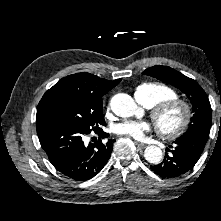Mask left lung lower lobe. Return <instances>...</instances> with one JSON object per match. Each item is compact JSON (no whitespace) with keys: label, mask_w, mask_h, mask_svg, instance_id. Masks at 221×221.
Returning <instances> with one entry per match:
<instances>
[{"label":"left lung lower lobe","mask_w":221,"mask_h":221,"mask_svg":"<svg viewBox=\"0 0 221 221\" xmlns=\"http://www.w3.org/2000/svg\"><path fill=\"white\" fill-rule=\"evenodd\" d=\"M209 132L197 131L182 135L174 142L176 147L173 150L166 149L171 153H165L163 162L151 166V169L162 178H175L186 174L199 160Z\"/></svg>","instance_id":"left-lung-lower-lobe-1"}]
</instances>
